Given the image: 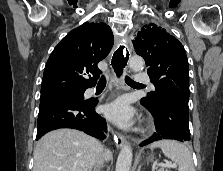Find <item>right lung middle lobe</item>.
<instances>
[{"label":"right lung middle lobe","instance_id":"right-lung-middle-lobe-1","mask_svg":"<svg viewBox=\"0 0 223 171\" xmlns=\"http://www.w3.org/2000/svg\"><path fill=\"white\" fill-rule=\"evenodd\" d=\"M56 98L84 99V91L61 93V94L53 95V96H50V97H47V98H42V99H40V102L50 100V99H56Z\"/></svg>","mask_w":223,"mask_h":171}]
</instances>
